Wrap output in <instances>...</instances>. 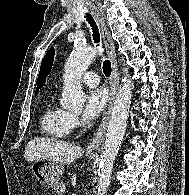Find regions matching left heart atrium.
<instances>
[{
	"mask_svg": "<svg viewBox=\"0 0 189 195\" xmlns=\"http://www.w3.org/2000/svg\"><path fill=\"white\" fill-rule=\"evenodd\" d=\"M109 99L105 88H95L88 92L83 111V120L90 121L98 116L105 108Z\"/></svg>",
	"mask_w": 189,
	"mask_h": 195,
	"instance_id": "obj_1",
	"label": "left heart atrium"
}]
</instances>
